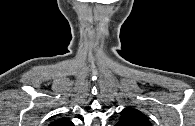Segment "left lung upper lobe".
<instances>
[{
	"label": "left lung upper lobe",
	"mask_w": 195,
	"mask_h": 126,
	"mask_svg": "<svg viewBox=\"0 0 195 126\" xmlns=\"http://www.w3.org/2000/svg\"><path fill=\"white\" fill-rule=\"evenodd\" d=\"M117 124L119 126H152L145 114L132 107L123 109Z\"/></svg>",
	"instance_id": "1"
}]
</instances>
